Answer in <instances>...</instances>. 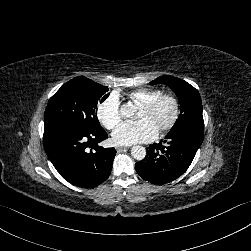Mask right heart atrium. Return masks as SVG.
<instances>
[{"label":"right heart atrium","mask_w":251,"mask_h":251,"mask_svg":"<svg viewBox=\"0 0 251 251\" xmlns=\"http://www.w3.org/2000/svg\"><path fill=\"white\" fill-rule=\"evenodd\" d=\"M96 115L105 128H115L122 119L119 96L111 93L101 100L96 107Z\"/></svg>","instance_id":"right-heart-atrium-1"}]
</instances>
